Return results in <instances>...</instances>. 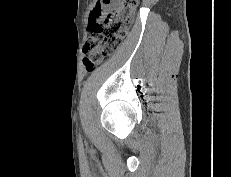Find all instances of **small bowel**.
I'll use <instances>...</instances> for the list:
<instances>
[{
	"mask_svg": "<svg viewBox=\"0 0 231 177\" xmlns=\"http://www.w3.org/2000/svg\"><path fill=\"white\" fill-rule=\"evenodd\" d=\"M111 4H106L101 6V15L102 13L110 6Z\"/></svg>",
	"mask_w": 231,
	"mask_h": 177,
	"instance_id": "small-bowel-1",
	"label": "small bowel"
}]
</instances>
